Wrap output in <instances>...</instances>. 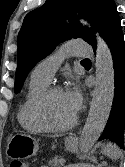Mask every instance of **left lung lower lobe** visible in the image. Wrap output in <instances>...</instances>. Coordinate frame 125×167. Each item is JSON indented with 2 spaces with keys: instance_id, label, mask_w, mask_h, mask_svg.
<instances>
[{
  "instance_id": "1",
  "label": "left lung lower lobe",
  "mask_w": 125,
  "mask_h": 167,
  "mask_svg": "<svg viewBox=\"0 0 125 167\" xmlns=\"http://www.w3.org/2000/svg\"><path fill=\"white\" fill-rule=\"evenodd\" d=\"M104 39L113 59L115 90L110 116L99 140H110L120 148H124L125 42L119 18L114 21ZM93 48L96 51V44L93 45Z\"/></svg>"
}]
</instances>
